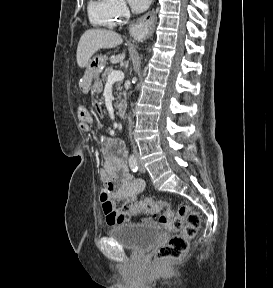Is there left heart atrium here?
Masks as SVG:
<instances>
[{
	"instance_id": "1",
	"label": "left heart atrium",
	"mask_w": 273,
	"mask_h": 288,
	"mask_svg": "<svg viewBox=\"0 0 273 288\" xmlns=\"http://www.w3.org/2000/svg\"><path fill=\"white\" fill-rule=\"evenodd\" d=\"M131 6L136 11L145 10L151 3V0H129Z\"/></svg>"
}]
</instances>
